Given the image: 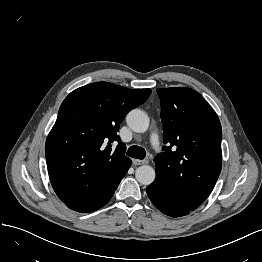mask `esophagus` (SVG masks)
I'll list each match as a JSON object with an SVG mask.
<instances>
[{"instance_id": "34e87169", "label": "esophagus", "mask_w": 262, "mask_h": 262, "mask_svg": "<svg viewBox=\"0 0 262 262\" xmlns=\"http://www.w3.org/2000/svg\"><path fill=\"white\" fill-rule=\"evenodd\" d=\"M146 163H147L146 160L133 159L134 165H143V164H146Z\"/></svg>"}]
</instances>
